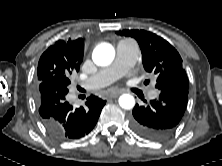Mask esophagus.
Wrapping results in <instances>:
<instances>
[{"label":"esophagus","instance_id":"34e87169","mask_svg":"<svg viewBox=\"0 0 222 166\" xmlns=\"http://www.w3.org/2000/svg\"><path fill=\"white\" fill-rule=\"evenodd\" d=\"M121 93H122V91H114V92L109 93L107 96H108V98H115V97L119 96Z\"/></svg>","mask_w":222,"mask_h":166}]
</instances>
